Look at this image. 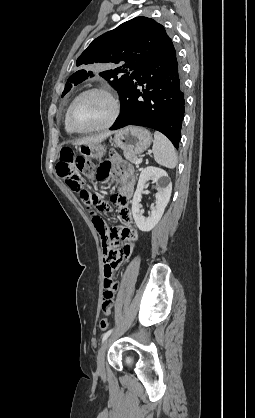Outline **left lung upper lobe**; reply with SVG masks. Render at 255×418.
Masks as SVG:
<instances>
[{"label":"left lung upper lobe","instance_id":"1","mask_svg":"<svg viewBox=\"0 0 255 418\" xmlns=\"http://www.w3.org/2000/svg\"><path fill=\"white\" fill-rule=\"evenodd\" d=\"M171 39L164 27L147 17H136L96 38L78 57L77 66L86 67L68 78L62 97L88 77L92 66H107L99 75L120 94L130 74Z\"/></svg>","mask_w":255,"mask_h":418}]
</instances>
